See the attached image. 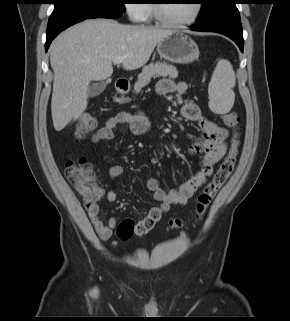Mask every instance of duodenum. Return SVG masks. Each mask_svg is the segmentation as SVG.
<instances>
[{
	"mask_svg": "<svg viewBox=\"0 0 290 321\" xmlns=\"http://www.w3.org/2000/svg\"><path fill=\"white\" fill-rule=\"evenodd\" d=\"M117 89L121 92H126L129 87V82L125 79H119L116 83Z\"/></svg>",
	"mask_w": 290,
	"mask_h": 321,
	"instance_id": "1",
	"label": "duodenum"
}]
</instances>
